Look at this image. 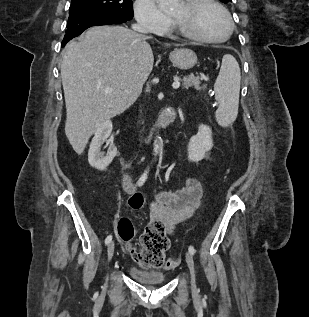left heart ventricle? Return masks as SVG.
I'll use <instances>...</instances> for the list:
<instances>
[{"label":"left heart ventricle","mask_w":309,"mask_h":317,"mask_svg":"<svg viewBox=\"0 0 309 317\" xmlns=\"http://www.w3.org/2000/svg\"><path fill=\"white\" fill-rule=\"evenodd\" d=\"M187 30L208 38H221L226 35L228 24L224 15L213 6H204L189 12L182 3L173 13Z\"/></svg>","instance_id":"1"}]
</instances>
